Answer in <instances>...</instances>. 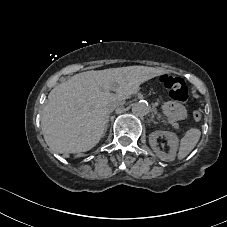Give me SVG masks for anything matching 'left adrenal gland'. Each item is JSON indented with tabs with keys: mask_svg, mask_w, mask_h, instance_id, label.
I'll return each mask as SVG.
<instances>
[{
	"mask_svg": "<svg viewBox=\"0 0 227 227\" xmlns=\"http://www.w3.org/2000/svg\"><path fill=\"white\" fill-rule=\"evenodd\" d=\"M150 121H151L153 124L158 125V123L154 121V117H153V116L150 118Z\"/></svg>",
	"mask_w": 227,
	"mask_h": 227,
	"instance_id": "left-adrenal-gland-1",
	"label": "left adrenal gland"
}]
</instances>
